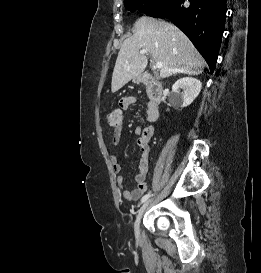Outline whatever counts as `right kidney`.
Instances as JSON below:
<instances>
[{
    "instance_id": "obj_1",
    "label": "right kidney",
    "mask_w": 261,
    "mask_h": 273,
    "mask_svg": "<svg viewBox=\"0 0 261 273\" xmlns=\"http://www.w3.org/2000/svg\"><path fill=\"white\" fill-rule=\"evenodd\" d=\"M201 87L202 84L198 79L183 77L172 86L173 98L181 107H187L199 95ZM180 89L183 90L182 93H180Z\"/></svg>"
}]
</instances>
